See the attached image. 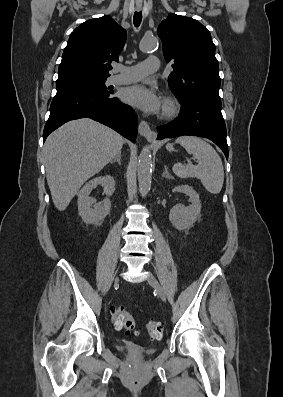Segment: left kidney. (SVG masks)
Wrapping results in <instances>:
<instances>
[{"mask_svg":"<svg viewBox=\"0 0 283 397\" xmlns=\"http://www.w3.org/2000/svg\"><path fill=\"white\" fill-rule=\"evenodd\" d=\"M173 192H180L189 196L191 205L188 207L181 204L175 205L170 210L169 221L178 230L189 229L200 216L201 203L199 195L193 187L189 185L176 186Z\"/></svg>","mask_w":283,"mask_h":397,"instance_id":"1","label":"left kidney"}]
</instances>
